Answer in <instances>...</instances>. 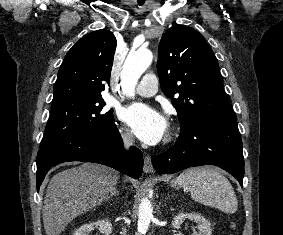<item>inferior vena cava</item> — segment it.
<instances>
[{
  "mask_svg": "<svg viewBox=\"0 0 283 235\" xmlns=\"http://www.w3.org/2000/svg\"><path fill=\"white\" fill-rule=\"evenodd\" d=\"M122 138H123V142H124V146L125 148H129L133 143H134V139H133V135L131 132H125L122 134ZM126 230L125 228H123V234H125Z\"/></svg>",
  "mask_w": 283,
  "mask_h": 235,
  "instance_id": "602c4592",
  "label": "inferior vena cava"
}]
</instances>
